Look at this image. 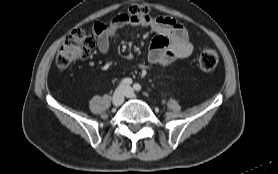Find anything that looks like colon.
I'll use <instances>...</instances> for the list:
<instances>
[{
    "instance_id": "obj_1",
    "label": "colon",
    "mask_w": 278,
    "mask_h": 174,
    "mask_svg": "<svg viewBox=\"0 0 278 174\" xmlns=\"http://www.w3.org/2000/svg\"><path fill=\"white\" fill-rule=\"evenodd\" d=\"M130 15H140L147 13V7L139 4H133L128 8ZM111 22L108 24L96 23L93 27V33L97 37L111 30ZM96 39L93 35L85 31L76 29L72 31L58 50L56 64L60 68H66L73 62L86 58L95 48ZM219 61L218 53L215 49L204 48L199 55V66L203 71H213Z\"/></svg>"
}]
</instances>
